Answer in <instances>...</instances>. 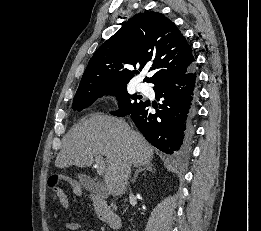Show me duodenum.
<instances>
[{
  "mask_svg": "<svg viewBox=\"0 0 261 231\" xmlns=\"http://www.w3.org/2000/svg\"><path fill=\"white\" fill-rule=\"evenodd\" d=\"M90 198L99 216L110 226L111 229H119L121 226L120 217L109 207L107 201L98 194H92Z\"/></svg>",
  "mask_w": 261,
  "mask_h": 231,
  "instance_id": "duodenum-1",
  "label": "duodenum"
}]
</instances>
